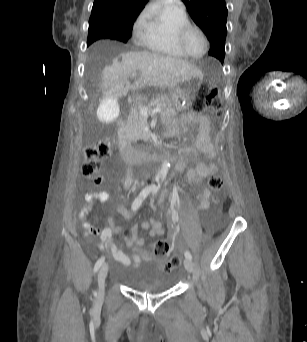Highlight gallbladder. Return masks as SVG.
<instances>
[{"mask_svg":"<svg viewBox=\"0 0 307 342\" xmlns=\"http://www.w3.org/2000/svg\"><path fill=\"white\" fill-rule=\"evenodd\" d=\"M119 95H104L103 102L99 105V118L101 123H116L120 108Z\"/></svg>","mask_w":307,"mask_h":342,"instance_id":"obj_1","label":"gallbladder"}]
</instances>
